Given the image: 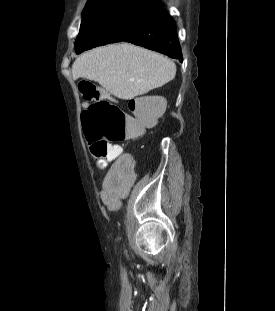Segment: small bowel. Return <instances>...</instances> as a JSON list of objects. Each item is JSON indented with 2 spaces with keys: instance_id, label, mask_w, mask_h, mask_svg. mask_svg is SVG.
<instances>
[{
  "instance_id": "c3829d8e",
  "label": "small bowel",
  "mask_w": 275,
  "mask_h": 311,
  "mask_svg": "<svg viewBox=\"0 0 275 311\" xmlns=\"http://www.w3.org/2000/svg\"><path fill=\"white\" fill-rule=\"evenodd\" d=\"M83 107L87 108L88 104L83 103ZM120 153L113 161L112 169H109L104 183H101V190H104L105 194H102L101 199L104 201L106 213H121L122 202L121 199L128 192L132 181L137 179V160H133L135 156L134 150H123L119 148ZM122 153V155H121ZM109 159V160H113ZM106 165L105 160H97L96 167L99 169L104 168Z\"/></svg>"
}]
</instances>
